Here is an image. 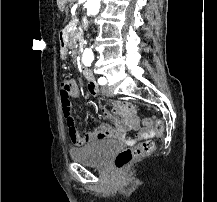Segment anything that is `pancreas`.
Returning <instances> with one entry per match:
<instances>
[{
    "mask_svg": "<svg viewBox=\"0 0 217 202\" xmlns=\"http://www.w3.org/2000/svg\"><path fill=\"white\" fill-rule=\"evenodd\" d=\"M72 26V22H69V25H66V27H64V33H67V30L71 29ZM80 40V42H83L82 38H81V32H79V30H74V32H69L68 34V46L69 48H74L77 40Z\"/></svg>",
    "mask_w": 217,
    "mask_h": 202,
    "instance_id": "obj_1",
    "label": "pancreas"
}]
</instances>
